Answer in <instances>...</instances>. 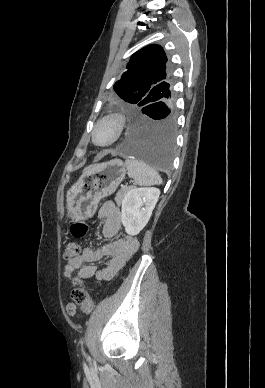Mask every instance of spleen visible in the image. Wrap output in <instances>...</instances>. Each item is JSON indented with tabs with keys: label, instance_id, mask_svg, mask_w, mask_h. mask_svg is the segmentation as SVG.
I'll return each mask as SVG.
<instances>
[{
	"label": "spleen",
	"instance_id": "obj_1",
	"mask_svg": "<svg viewBox=\"0 0 265 388\" xmlns=\"http://www.w3.org/2000/svg\"><path fill=\"white\" fill-rule=\"evenodd\" d=\"M125 166L128 170L129 178H133L135 184L138 186H155V184H162L158 172L154 168H150L146 162L142 160H135V158H127Z\"/></svg>",
	"mask_w": 265,
	"mask_h": 388
}]
</instances>
